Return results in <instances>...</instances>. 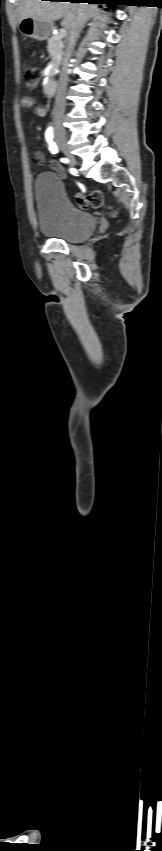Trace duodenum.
<instances>
[{
    "mask_svg": "<svg viewBox=\"0 0 162 851\" xmlns=\"http://www.w3.org/2000/svg\"><path fill=\"white\" fill-rule=\"evenodd\" d=\"M56 81L53 78H49L46 80L43 86V91L46 96H53L56 92Z\"/></svg>",
    "mask_w": 162,
    "mask_h": 851,
    "instance_id": "1",
    "label": "duodenum"
}]
</instances>
